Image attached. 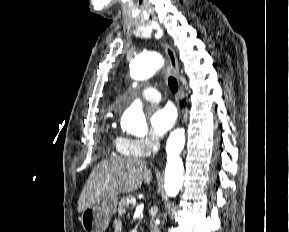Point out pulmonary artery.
Instances as JSON below:
<instances>
[{
    "instance_id": "e3ab8cb5",
    "label": "pulmonary artery",
    "mask_w": 289,
    "mask_h": 232,
    "mask_svg": "<svg viewBox=\"0 0 289 232\" xmlns=\"http://www.w3.org/2000/svg\"><path fill=\"white\" fill-rule=\"evenodd\" d=\"M141 97L150 102H159L161 100L160 92L152 87L144 89L141 92Z\"/></svg>"
}]
</instances>
